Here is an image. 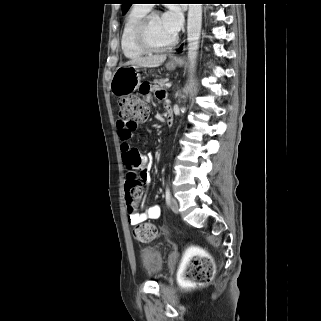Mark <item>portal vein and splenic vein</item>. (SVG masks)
Masks as SVG:
<instances>
[{"label": "portal vein and splenic vein", "instance_id": "1", "mask_svg": "<svg viewBox=\"0 0 321 321\" xmlns=\"http://www.w3.org/2000/svg\"><path fill=\"white\" fill-rule=\"evenodd\" d=\"M166 87H167V88H170V87H171V83H167V84H166Z\"/></svg>", "mask_w": 321, "mask_h": 321}]
</instances>
